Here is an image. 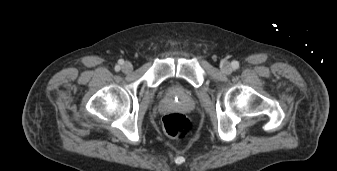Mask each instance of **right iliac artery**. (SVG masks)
I'll use <instances>...</instances> for the list:
<instances>
[{
	"label": "right iliac artery",
	"mask_w": 337,
	"mask_h": 171,
	"mask_svg": "<svg viewBox=\"0 0 337 171\" xmlns=\"http://www.w3.org/2000/svg\"><path fill=\"white\" fill-rule=\"evenodd\" d=\"M123 62H124L123 60H120V61H119L120 64H123ZM115 70H116V71H119V70H120V67H119V66H116V67H115Z\"/></svg>",
	"instance_id": "obj_1"
}]
</instances>
